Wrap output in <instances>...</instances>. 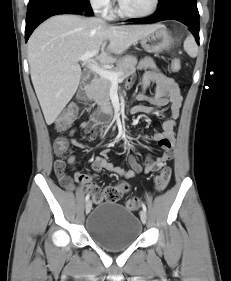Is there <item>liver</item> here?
<instances>
[{"instance_id": "1", "label": "liver", "mask_w": 231, "mask_h": 281, "mask_svg": "<svg viewBox=\"0 0 231 281\" xmlns=\"http://www.w3.org/2000/svg\"><path fill=\"white\" fill-rule=\"evenodd\" d=\"M159 27L111 26L99 18L78 15H56L42 23L28 41V62L46 123L51 125L74 96L82 76V55L101 48L96 59L101 64L114 63L111 53L123 54Z\"/></svg>"}]
</instances>
